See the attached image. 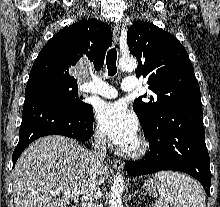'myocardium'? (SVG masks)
Masks as SVG:
<instances>
[{"instance_id":"f54148a6","label":"myocardium","mask_w":220,"mask_h":207,"mask_svg":"<svg viewBox=\"0 0 220 207\" xmlns=\"http://www.w3.org/2000/svg\"><path fill=\"white\" fill-rule=\"evenodd\" d=\"M149 149V142L144 136L136 138V145L131 149H120V154L126 158L138 159L143 157Z\"/></svg>"}]
</instances>
